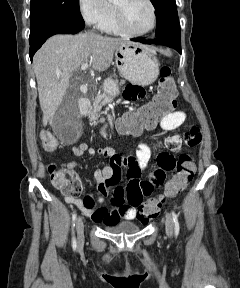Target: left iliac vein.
Masks as SVG:
<instances>
[{
  "instance_id": "1",
  "label": "left iliac vein",
  "mask_w": 240,
  "mask_h": 288,
  "mask_svg": "<svg viewBox=\"0 0 240 288\" xmlns=\"http://www.w3.org/2000/svg\"><path fill=\"white\" fill-rule=\"evenodd\" d=\"M165 218H166V222H165L166 234L168 235V237H171L173 235V230H174L173 219L169 213L165 214Z\"/></svg>"
}]
</instances>
